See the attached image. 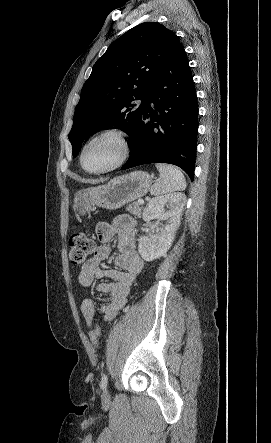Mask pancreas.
I'll return each instance as SVG.
<instances>
[{
    "label": "pancreas",
    "instance_id": "obj_1",
    "mask_svg": "<svg viewBox=\"0 0 271 443\" xmlns=\"http://www.w3.org/2000/svg\"><path fill=\"white\" fill-rule=\"evenodd\" d=\"M140 206L141 204H138V202H134V204H129L126 210L127 212H130V214H134V216H137V218H141L142 208H140Z\"/></svg>",
    "mask_w": 271,
    "mask_h": 443
}]
</instances>
